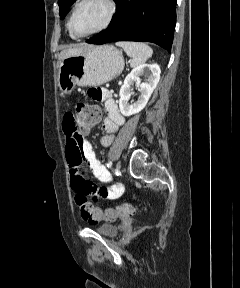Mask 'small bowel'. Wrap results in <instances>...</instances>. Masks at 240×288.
<instances>
[{
	"label": "small bowel",
	"mask_w": 240,
	"mask_h": 288,
	"mask_svg": "<svg viewBox=\"0 0 240 288\" xmlns=\"http://www.w3.org/2000/svg\"><path fill=\"white\" fill-rule=\"evenodd\" d=\"M88 94L94 100L103 102L105 105L106 116L102 121V126L107 134L101 138V144L108 147L113 142L118 129L124 124V117L108 89L91 88ZM62 130L66 140V156L72 189L77 194H84L94 199L114 200L119 198L124 192V185L113 181L108 170L97 159L91 143L78 130L72 112L65 113ZM84 163L100 182L108 184V186H99L92 182Z\"/></svg>",
	"instance_id": "c3829d8e"
}]
</instances>
